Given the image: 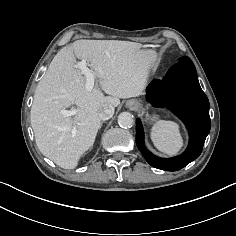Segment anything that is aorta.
<instances>
[{
  "mask_svg": "<svg viewBox=\"0 0 236 236\" xmlns=\"http://www.w3.org/2000/svg\"><path fill=\"white\" fill-rule=\"evenodd\" d=\"M134 123L133 115L129 112H122L118 116V124L121 127L129 128L132 127Z\"/></svg>",
  "mask_w": 236,
  "mask_h": 236,
  "instance_id": "762f6f07",
  "label": "aorta"
}]
</instances>
